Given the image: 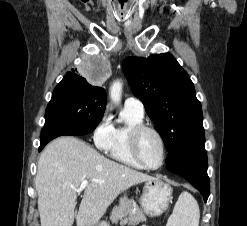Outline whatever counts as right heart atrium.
<instances>
[{"label":"right heart atrium","instance_id":"right-heart-atrium-1","mask_svg":"<svg viewBox=\"0 0 247 226\" xmlns=\"http://www.w3.org/2000/svg\"><path fill=\"white\" fill-rule=\"evenodd\" d=\"M110 137H111V124L109 123L107 114L105 113L100 123L94 130L93 140L95 145L99 149H105L109 144Z\"/></svg>","mask_w":247,"mask_h":226}]
</instances>
